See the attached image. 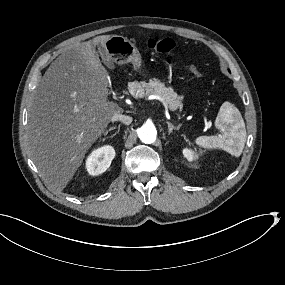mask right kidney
Wrapping results in <instances>:
<instances>
[{
  "label": "right kidney",
  "instance_id": "ca27d5eb",
  "mask_svg": "<svg viewBox=\"0 0 285 285\" xmlns=\"http://www.w3.org/2000/svg\"><path fill=\"white\" fill-rule=\"evenodd\" d=\"M115 157V150L111 145H104L91 152L86 159V169L90 175L105 172Z\"/></svg>",
  "mask_w": 285,
  "mask_h": 285
}]
</instances>
